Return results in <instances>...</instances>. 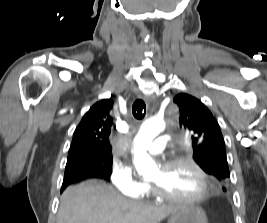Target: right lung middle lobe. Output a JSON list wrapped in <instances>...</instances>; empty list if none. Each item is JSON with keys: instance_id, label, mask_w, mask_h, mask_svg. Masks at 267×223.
I'll use <instances>...</instances> for the list:
<instances>
[{"instance_id": "right-lung-middle-lobe-1", "label": "right lung middle lobe", "mask_w": 267, "mask_h": 223, "mask_svg": "<svg viewBox=\"0 0 267 223\" xmlns=\"http://www.w3.org/2000/svg\"><path fill=\"white\" fill-rule=\"evenodd\" d=\"M102 169L98 166L99 162L96 160H79L72 161L66 164L65 173L75 170H89L99 173L103 179L109 180L112 173V161L111 158L101 160Z\"/></svg>"}]
</instances>
